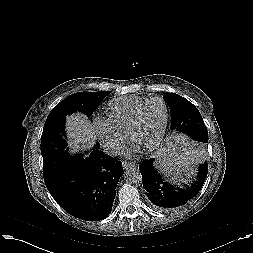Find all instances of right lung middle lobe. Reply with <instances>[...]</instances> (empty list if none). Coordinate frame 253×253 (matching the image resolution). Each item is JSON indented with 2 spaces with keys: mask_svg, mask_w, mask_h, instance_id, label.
<instances>
[{
  "mask_svg": "<svg viewBox=\"0 0 253 253\" xmlns=\"http://www.w3.org/2000/svg\"><path fill=\"white\" fill-rule=\"evenodd\" d=\"M109 93L108 91L78 92L64 99L51 110L41 137L43 166L72 158L68 153L66 142L64 128L66 116L80 111L90 117Z\"/></svg>",
  "mask_w": 253,
  "mask_h": 253,
  "instance_id": "right-lung-middle-lobe-1",
  "label": "right lung middle lobe"
}]
</instances>
